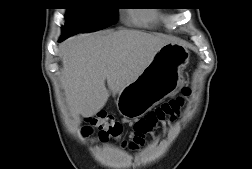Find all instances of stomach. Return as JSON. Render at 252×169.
<instances>
[{"label":"stomach","mask_w":252,"mask_h":169,"mask_svg":"<svg viewBox=\"0 0 252 169\" xmlns=\"http://www.w3.org/2000/svg\"><path fill=\"white\" fill-rule=\"evenodd\" d=\"M188 61L189 52L181 45L171 41L163 45L139 77L119 93V113L136 120L175 93Z\"/></svg>","instance_id":"obj_1"}]
</instances>
